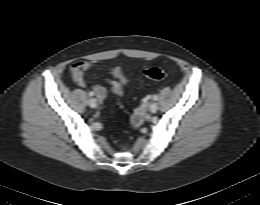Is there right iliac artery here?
<instances>
[{
  "mask_svg": "<svg viewBox=\"0 0 260 205\" xmlns=\"http://www.w3.org/2000/svg\"><path fill=\"white\" fill-rule=\"evenodd\" d=\"M94 95V93L93 92H89V96H93Z\"/></svg>",
  "mask_w": 260,
  "mask_h": 205,
  "instance_id": "1",
  "label": "right iliac artery"
}]
</instances>
